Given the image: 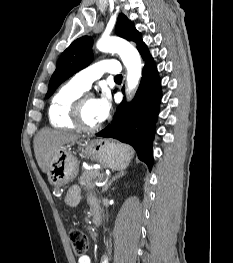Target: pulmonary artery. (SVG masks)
<instances>
[{
  "label": "pulmonary artery",
  "mask_w": 233,
  "mask_h": 263,
  "mask_svg": "<svg viewBox=\"0 0 233 263\" xmlns=\"http://www.w3.org/2000/svg\"><path fill=\"white\" fill-rule=\"evenodd\" d=\"M120 72L121 69L117 60L105 59L76 73L73 77V81L87 90L90 88L92 82L100 78L104 73L118 75Z\"/></svg>",
  "instance_id": "1"
}]
</instances>
